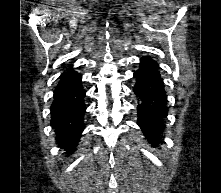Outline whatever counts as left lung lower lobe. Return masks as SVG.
I'll list each match as a JSON object with an SVG mask.
<instances>
[{
	"label": "left lung lower lobe",
	"instance_id": "0a47b994",
	"mask_svg": "<svg viewBox=\"0 0 221 193\" xmlns=\"http://www.w3.org/2000/svg\"><path fill=\"white\" fill-rule=\"evenodd\" d=\"M134 78L136 84L133 91L141 99L138 105V125L151 144L157 145L158 137L165 128L168 111L167 94L158 63L149 56L142 57Z\"/></svg>",
	"mask_w": 221,
	"mask_h": 193
}]
</instances>
